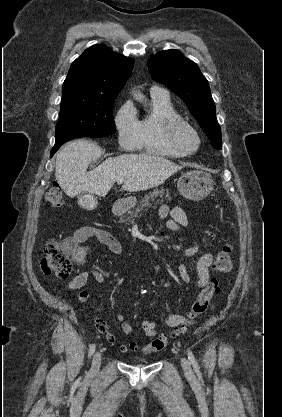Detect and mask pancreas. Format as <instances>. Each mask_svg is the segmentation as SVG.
<instances>
[{
    "mask_svg": "<svg viewBox=\"0 0 282 417\" xmlns=\"http://www.w3.org/2000/svg\"><path fill=\"white\" fill-rule=\"evenodd\" d=\"M163 194H165V196H163ZM157 196H160V200H157L159 204H162L165 198L166 200H172L169 188H157L156 186L154 190H151V192L145 194L144 198H141L137 209H134V211H128L127 215H122V217H120L119 223H124V225H132V223H134V219H136V217L140 215L141 211H143L144 206H151V200H154V198H157Z\"/></svg>",
    "mask_w": 282,
    "mask_h": 417,
    "instance_id": "cf45deb5",
    "label": "pancreas"
}]
</instances>
